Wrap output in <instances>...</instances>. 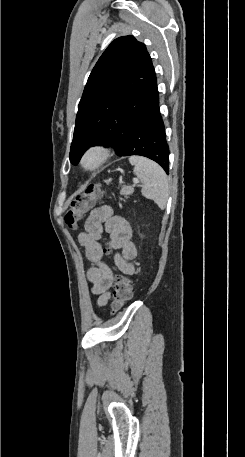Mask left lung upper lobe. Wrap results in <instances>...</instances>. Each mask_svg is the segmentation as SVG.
<instances>
[{
    "label": "left lung upper lobe",
    "instance_id": "left-lung-upper-lobe-1",
    "mask_svg": "<svg viewBox=\"0 0 245 457\" xmlns=\"http://www.w3.org/2000/svg\"><path fill=\"white\" fill-rule=\"evenodd\" d=\"M156 83L152 60L133 36L115 39L93 68L78 105L70 161L98 131L112 128L122 114L143 106Z\"/></svg>",
    "mask_w": 245,
    "mask_h": 457
}]
</instances>
